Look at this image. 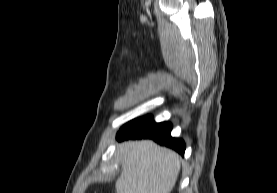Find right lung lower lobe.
<instances>
[{
    "label": "right lung lower lobe",
    "instance_id": "obj_1",
    "mask_svg": "<svg viewBox=\"0 0 277 193\" xmlns=\"http://www.w3.org/2000/svg\"><path fill=\"white\" fill-rule=\"evenodd\" d=\"M171 123H156L151 116L133 120L120 129L118 140L151 138L161 145L176 150L181 155L185 152V143L181 139L172 138L170 135Z\"/></svg>",
    "mask_w": 277,
    "mask_h": 193
}]
</instances>
